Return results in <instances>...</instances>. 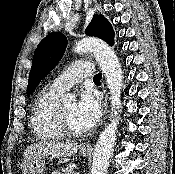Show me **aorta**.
<instances>
[{
	"mask_svg": "<svg viewBox=\"0 0 175 174\" xmlns=\"http://www.w3.org/2000/svg\"><path fill=\"white\" fill-rule=\"evenodd\" d=\"M76 53L92 52L96 61L100 65L110 90L111 115L110 123L99 136L94 149L93 164L91 174H107L109 160L114 149L118 125V114L121 109V88L122 70L118 57L114 50L104 41L86 37L77 42L74 46ZM64 102L75 101V96L66 94L63 96Z\"/></svg>",
	"mask_w": 175,
	"mask_h": 174,
	"instance_id": "1",
	"label": "aorta"
}]
</instances>
